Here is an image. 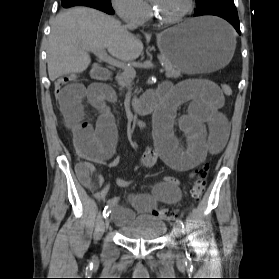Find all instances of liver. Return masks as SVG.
Returning a JSON list of instances; mask_svg holds the SVG:
<instances>
[{
	"instance_id": "liver-1",
	"label": "liver",
	"mask_w": 279,
	"mask_h": 279,
	"mask_svg": "<svg viewBox=\"0 0 279 279\" xmlns=\"http://www.w3.org/2000/svg\"><path fill=\"white\" fill-rule=\"evenodd\" d=\"M90 48L107 49L112 56L128 62L143 52L139 36L131 34L115 18L87 7L67 9L56 16L51 26L49 79L55 81L63 75L85 71L91 62Z\"/></svg>"
}]
</instances>
